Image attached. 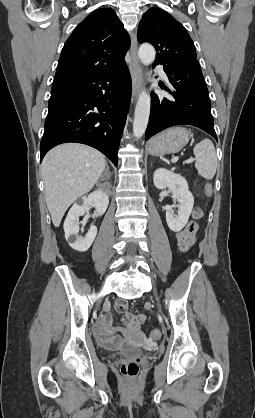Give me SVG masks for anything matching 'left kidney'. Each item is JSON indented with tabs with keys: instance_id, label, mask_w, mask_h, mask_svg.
I'll return each mask as SVG.
<instances>
[{
	"instance_id": "left-kidney-1",
	"label": "left kidney",
	"mask_w": 255,
	"mask_h": 418,
	"mask_svg": "<svg viewBox=\"0 0 255 418\" xmlns=\"http://www.w3.org/2000/svg\"><path fill=\"white\" fill-rule=\"evenodd\" d=\"M153 182L157 189L169 188L173 201L179 203L177 215L173 214L172 209L166 211V221L172 231H180L187 224L194 205V197L186 179L180 174L159 168L154 172Z\"/></svg>"
}]
</instances>
